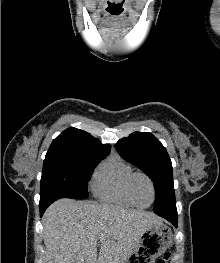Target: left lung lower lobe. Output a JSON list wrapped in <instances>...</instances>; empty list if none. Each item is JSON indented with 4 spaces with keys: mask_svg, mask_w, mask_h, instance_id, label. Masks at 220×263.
<instances>
[{
    "mask_svg": "<svg viewBox=\"0 0 220 263\" xmlns=\"http://www.w3.org/2000/svg\"><path fill=\"white\" fill-rule=\"evenodd\" d=\"M157 215L167 219L170 221L175 227H177L178 222V216H177V210L169 209L166 212L158 213Z\"/></svg>",
    "mask_w": 220,
    "mask_h": 263,
    "instance_id": "0a47b994",
    "label": "left lung lower lobe"
}]
</instances>
